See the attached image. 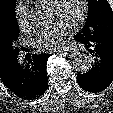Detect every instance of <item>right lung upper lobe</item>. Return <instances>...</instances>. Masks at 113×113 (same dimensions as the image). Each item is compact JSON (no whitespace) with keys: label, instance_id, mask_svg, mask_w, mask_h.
I'll return each instance as SVG.
<instances>
[{"label":"right lung upper lobe","instance_id":"1","mask_svg":"<svg viewBox=\"0 0 113 113\" xmlns=\"http://www.w3.org/2000/svg\"><path fill=\"white\" fill-rule=\"evenodd\" d=\"M10 0H0V32H1V25H2V15L5 10V3ZM9 65V62L6 60L4 55L0 51V77L3 76L5 68Z\"/></svg>","mask_w":113,"mask_h":113}]
</instances>
